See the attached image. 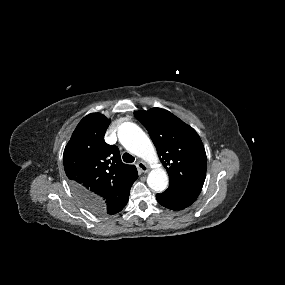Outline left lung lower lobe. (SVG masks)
I'll return each mask as SVG.
<instances>
[{"label": "left lung lower lobe", "mask_w": 285, "mask_h": 285, "mask_svg": "<svg viewBox=\"0 0 285 285\" xmlns=\"http://www.w3.org/2000/svg\"><path fill=\"white\" fill-rule=\"evenodd\" d=\"M200 190L169 184L168 189L156 194L157 201L164 207L172 210H182L190 206L199 196Z\"/></svg>", "instance_id": "1"}]
</instances>
